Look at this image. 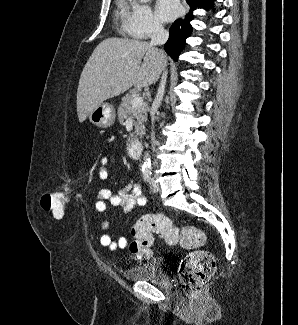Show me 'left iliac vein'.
Returning a JSON list of instances; mask_svg holds the SVG:
<instances>
[{
    "label": "left iliac vein",
    "instance_id": "obj_1",
    "mask_svg": "<svg viewBox=\"0 0 298 325\" xmlns=\"http://www.w3.org/2000/svg\"><path fill=\"white\" fill-rule=\"evenodd\" d=\"M150 188H151V190L153 192H157L158 191V186H157L154 178H151V180H150Z\"/></svg>",
    "mask_w": 298,
    "mask_h": 325
}]
</instances>
